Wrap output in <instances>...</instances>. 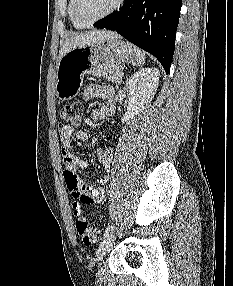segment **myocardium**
<instances>
[{"instance_id":"myocardium-1","label":"myocardium","mask_w":233,"mask_h":286,"mask_svg":"<svg viewBox=\"0 0 233 286\" xmlns=\"http://www.w3.org/2000/svg\"><path fill=\"white\" fill-rule=\"evenodd\" d=\"M124 3V0H116L115 4L105 13H103L102 15L98 16L97 18L90 20V21H84L80 15H79V11H78V7H79V0H73V15L75 17V19L83 26H91L103 19H105L106 17L110 16L111 14H113L114 12H116Z\"/></svg>"}]
</instances>
